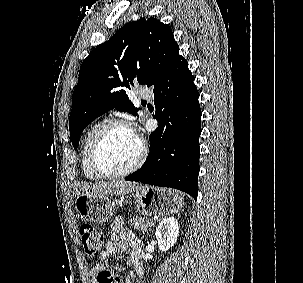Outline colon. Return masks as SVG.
<instances>
[{"instance_id": "1", "label": "colon", "mask_w": 303, "mask_h": 283, "mask_svg": "<svg viewBox=\"0 0 303 283\" xmlns=\"http://www.w3.org/2000/svg\"><path fill=\"white\" fill-rule=\"evenodd\" d=\"M80 237L83 249L88 256L100 255L106 239L105 234L85 225L80 230ZM97 283H119V278L110 270H102L97 274Z\"/></svg>"}]
</instances>
